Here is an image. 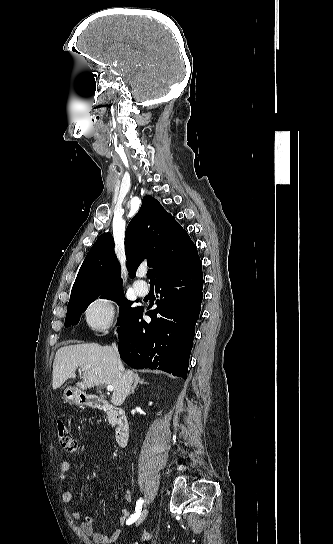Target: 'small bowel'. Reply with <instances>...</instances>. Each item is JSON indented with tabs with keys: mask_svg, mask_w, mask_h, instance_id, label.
Returning a JSON list of instances; mask_svg holds the SVG:
<instances>
[{
	"mask_svg": "<svg viewBox=\"0 0 333 544\" xmlns=\"http://www.w3.org/2000/svg\"><path fill=\"white\" fill-rule=\"evenodd\" d=\"M95 458H89L81 462L78 466V470L82 471L86 466L93 463ZM71 469V463L69 461H63L60 464L59 480L61 483H65L67 480L68 473ZM133 493L131 491H126L125 499L128 502L133 501ZM62 500L66 504H70L73 500V495L70 490L64 489L62 492ZM131 511L129 508H123L121 516L118 521L119 527L115 529L110 535H106L95 528V521L92 516L86 515L83 516L82 512L76 510L71 513V517L78 521L82 519L80 527L82 531L91 537L97 543H110L118 539L121 534V528L127 524V521L131 518Z\"/></svg>",
	"mask_w": 333,
	"mask_h": 544,
	"instance_id": "c3829d8e",
	"label": "small bowel"
}]
</instances>
